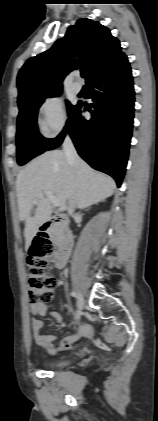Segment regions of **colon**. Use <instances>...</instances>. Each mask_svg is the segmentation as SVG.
<instances>
[{
    "instance_id": "1",
    "label": "colon",
    "mask_w": 158,
    "mask_h": 421,
    "mask_svg": "<svg viewBox=\"0 0 158 421\" xmlns=\"http://www.w3.org/2000/svg\"><path fill=\"white\" fill-rule=\"evenodd\" d=\"M53 247L46 235L34 240L27 258L29 301L31 304L49 302L53 297L56 279L49 273V258Z\"/></svg>"
}]
</instances>
